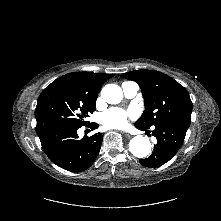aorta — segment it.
I'll use <instances>...</instances> for the list:
<instances>
[{"label":"aorta","mask_w":221,"mask_h":221,"mask_svg":"<svg viewBox=\"0 0 221 221\" xmlns=\"http://www.w3.org/2000/svg\"><path fill=\"white\" fill-rule=\"evenodd\" d=\"M102 98L109 104H117L122 100V89L116 84H107L102 88ZM130 152L137 158H145L151 153L149 138L136 136L130 140Z\"/></svg>","instance_id":"obj_1"}]
</instances>
